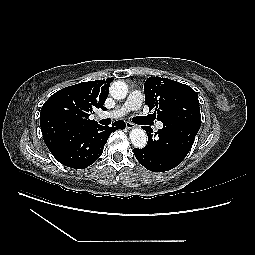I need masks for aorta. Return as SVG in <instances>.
I'll use <instances>...</instances> for the list:
<instances>
[{
	"mask_svg": "<svg viewBox=\"0 0 255 255\" xmlns=\"http://www.w3.org/2000/svg\"><path fill=\"white\" fill-rule=\"evenodd\" d=\"M128 87L123 81H115L110 86V94L114 99L121 100L126 97ZM130 140L136 148H143L147 144L146 132L141 128H134L130 131Z\"/></svg>",
	"mask_w": 255,
	"mask_h": 255,
	"instance_id": "aorta-1",
	"label": "aorta"
}]
</instances>
